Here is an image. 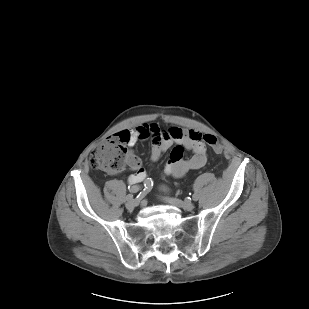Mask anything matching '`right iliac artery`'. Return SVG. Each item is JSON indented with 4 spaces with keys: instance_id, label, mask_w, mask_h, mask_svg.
Returning a JSON list of instances; mask_svg holds the SVG:
<instances>
[{
    "instance_id": "obj_1",
    "label": "right iliac artery",
    "mask_w": 309,
    "mask_h": 309,
    "mask_svg": "<svg viewBox=\"0 0 309 309\" xmlns=\"http://www.w3.org/2000/svg\"><path fill=\"white\" fill-rule=\"evenodd\" d=\"M142 184H143L144 189L140 190V193L137 194V197H133L132 195L129 194L126 197L127 201L130 202L133 199L134 203H139V200H142L143 196H145L146 193L150 192V189L153 186V181L151 179L147 178V179L143 180Z\"/></svg>"
}]
</instances>
